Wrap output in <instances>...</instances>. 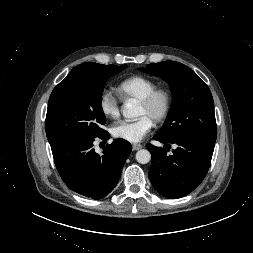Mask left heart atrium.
<instances>
[{
  "instance_id": "obj_1",
  "label": "left heart atrium",
  "mask_w": 253,
  "mask_h": 253,
  "mask_svg": "<svg viewBox=\"0 0 253 253\" xmlns=\"http://www.w3.org/2000/svg\"><path fill=\"white\" fill-rule=\"evenodd\" d=\"M153 119L142 116L133 121H120L111 127V134L128 142L137 143L153 129Z\"/></svg>"
}]
</instances>
